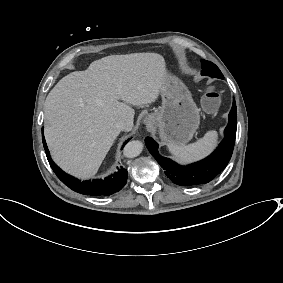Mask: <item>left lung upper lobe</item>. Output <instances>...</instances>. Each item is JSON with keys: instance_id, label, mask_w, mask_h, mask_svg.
Wrapping results in <instances>:
<instances>
[{"instance_id": "5c2ea615", "label": "left lung upper lobe", "mask_w": 283, "mask_h": 283, "mask_svg": "<svg viewBox=\"0 0 283 283\" xmlns=\"http://www.w3.org/2000/svg\"><path fill=\"white\" fill-rule=\"evenodd\" d=\"M202 75H207L210 77H216L223 79V74L219 68L210 61L202 60Z\"/></svg>"}]
</instances>
